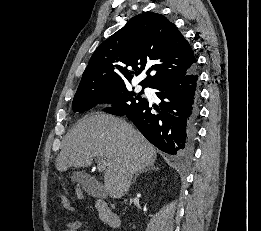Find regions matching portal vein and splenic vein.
<instances>
[{"mask_svg":"<svg viewBox=\"0 0 261 231\" xmlns=\"http://www.w3.org/2000/svg\"><path fill=\"white\" fill-rule=\"evenodd\" d=\"M97 165H98V170L103 171L107 166V161L99 157L97 161Z\"/></svg>","mask_w":261,"mask_h":231,"instance_id":"portal-vein-and-splenic-vein-1","label":"portal vein and splenic vein"}]
</instances>
